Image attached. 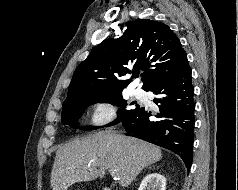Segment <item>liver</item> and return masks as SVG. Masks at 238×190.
Listing matches in <instances>:
<instances>
[{
  "label": "liver",
  "mask_w": 238,
  "mask_h": 190,
  "mask_svg": "<svg viewBox=\"0 0 238 190\" xmlns=\"http://www.w3.org/2000/svg\"><path fill=\"white\" fill-rule=\"evenodd\" d=\"M162 158L151 143L111 132H98L59 147L51 172L52 190H67L75 183L104 178L114 171L122 187Z\"/></svg>",
  "instance_id": "6515ba94"
}]
</instances>
